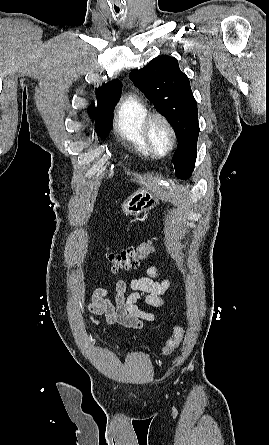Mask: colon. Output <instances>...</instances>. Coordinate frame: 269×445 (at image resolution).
<instances>
[{
  "label": "colon",
  "mask_w": 269,
  "mask_h": 445,
  "mask_svg": "<svg viewBox=\"0 0 269 445\" xmlns=\"http://www.w3.org/2000/svg\"><path fill=\"white\" fill-rule=\"evenodd\" d=\"M154 239H149L136 247H128L117 252L106 255L113 271L130 270L139 266L142 259L152 254L155 250ZM184 331L181 327H176L173 335L163 347V354H171L181 343Z\"/></svg>",
  "instance_id": "1"
}]
</instances>
